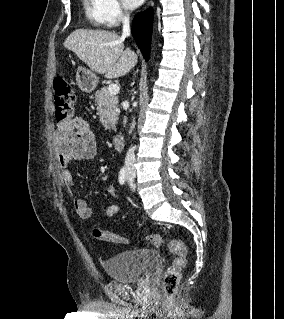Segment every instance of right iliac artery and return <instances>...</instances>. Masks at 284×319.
Masks as SVG:
<instances>
[{
    "instance_id": "1",
    "label": "right iliac artery",
    "mask_w": 284,
    "mask_h": 319,
    "mask_svg": "<svg viewBox=\"0 0 284 319\" xmlns=\"http://www.w3.org/2000/svg\"><path fill=\"white\" fill-rule=\"evenodd\" d=\"M119 182L121 185H124L126 182V171L124 167L119 172Z\"/></svg>"
}]
</instances>
